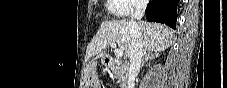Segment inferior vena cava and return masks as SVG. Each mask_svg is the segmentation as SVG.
Masks as SVG:
<instances>
[{"label":"inferior vena cava","mask_w":227,"mask_h":88,"mask_svg":"<svg viewBox=\"0 0 227 88\" xmlns=\"http://www.w3.org/2000/svg\"><path fill=\"white\" fill-rule=\"evenodd\" d=\"M148 1L143 0L135 5V11L131 13L130 20L128 22L130 30V67L128 73V88H134L135 77L138 75L141 66L142 56L144 54V48L142 45L141 33L136 25V20L142 19Z\"/></svg>","instance_id":"obj_1"}]
</instances>
